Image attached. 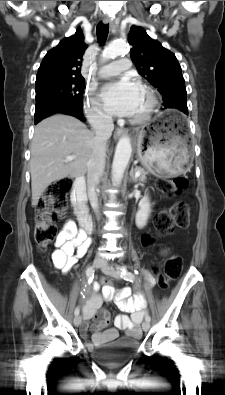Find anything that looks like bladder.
<instances>
[{"label": "bladder", "instance_id": "obj_1", "mask_svg": "<svg viewBox=\"0 0 225 395\" xmlns=\"http://www.w3.org/2000/svg\"><path fill=\"white\" fill-rule=\"evenodd\" d=\"M139 347L140 342L138 340L120 338L105 346H91L90 351L97 360L112 363L131 356Z\"/></svg>", "mask_w": 225, "mask_h": 395}]
</instances>
